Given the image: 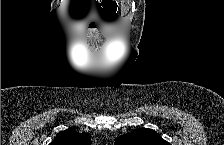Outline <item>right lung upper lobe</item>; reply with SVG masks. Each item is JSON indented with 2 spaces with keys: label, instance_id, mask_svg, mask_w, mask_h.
I'll return each instance as SVG.
<instances>
[{
  "label": "right lung upper lobe",
  "instance_id": "obj_1",
  "mask_svg": "<svg viewBox=\"0 0 224 145\" xmlns=\"http://www.w3.org/2000/svg\"><path fill=\"white\" fill-rule=\"evenodd\" d=\"M90 143L91 138L88 134L66 130L59 132L50 145H90Z\"/></svg>",
  "mask_w": 224,
  "mask_h": 145
}]
</instances>
